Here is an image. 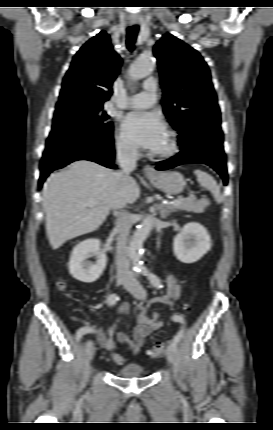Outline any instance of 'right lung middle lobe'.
<instances>
[{"mask_svg":"<svg viewBox=\"0 0 273 430\" xmlns=\"http://www.w3.org/2000/svg\"><path fill=\"white\" fill-rule=\"evenodd\" d=\"M103 107L73 102L56 108L43 156L87 144L113 142V124Z\"/></svg>","mask_w":273,"mask_h":430,"instance_id":"1","label":"right lung middle lobe"}]
</instances>
